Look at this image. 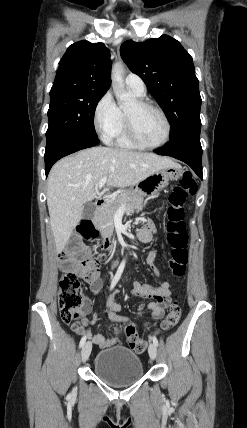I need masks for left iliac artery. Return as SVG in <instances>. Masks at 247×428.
Masks as SVG:
<instances>
[{
    "instance_id": "obj_1",
    "label": "left iliac artery",
    "mask_w": 247,
    "mask_h": 428,
    "mask_svg": "<svg viewBox=\"0 0 247 428\" xmlns=\"http://www.w3.org/2000/svg\"><path fill=\"white\" fill-rule=\"evenodd\" d=\"M152 341L156 346H158V340L155 336L152 337Z\"/></svg>"
}]
</instances>
